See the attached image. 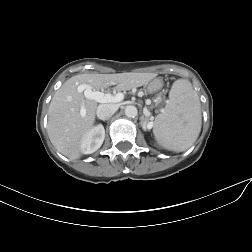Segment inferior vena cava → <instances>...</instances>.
<instances>
[{
	"label": "inferior vena cava",
	"instance_id": "obj_1",
	"mask_svg": "<svg viewBox=\"0 0 252 252\" xmlns=\"http://www.w3.org/2000/svg\"><path fill=\"white\" fill-rule=\"evenodd\" d=\"M117 111V106L115 104H100L97 107L96 114L101 120H108Z\"/></svg>",
	"mask_w": 252,
	"mask_h": 252
}]
</instances>
